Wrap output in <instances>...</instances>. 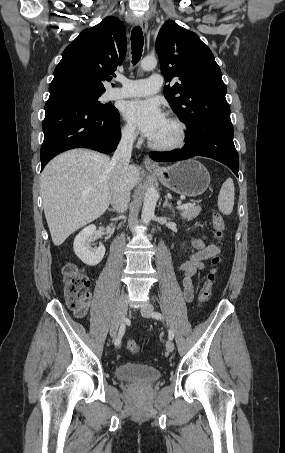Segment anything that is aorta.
<instances>
[{
  "label": "aorta",
  "instance_id": "aorta-1",
  "mask_svg": "<svg viewBox=\"0 0 285 453\" xmlns=\"http://www.w3.org/2000/svg\"><path fill=\"white\" fill-rule=\"evenodd\" d=\"M157 66V59L155 57H145L141 61V68L144 71L153 70ZM158 200V194L153 186H150L145 193L144 203L142 208L141 218L142 221L147 224L154 216L156 203Z\"/></svg>",
  "mask_w": 285,
  "mask_h": 453
}]
</instances>
